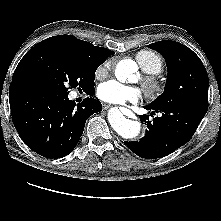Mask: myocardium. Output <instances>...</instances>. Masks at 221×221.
<instances>
[{"label":"myocardium","instance_id":"1","mask_svg":"<svg viewBox=\"0 0 221 221\" xmlns=\"http://www.w3.org/2000/svg\"><path fill=\"white\" fill-rule=\"evenodd\" d=\"M142 84L151 99L158 98L164 91L163 83L153 74L144 75Z\"/></svg>","mask_w":221,"mask_h":221}]
</instances>
